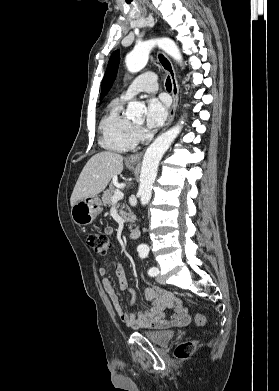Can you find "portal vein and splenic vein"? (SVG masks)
<instances>
[{
	"instance_id": "1",
	"label": "portal vein and splenic vein",
	"mask_w": 279,
	"mask_h": 391,
	"mask_svg": "<svg viewBox=\"0 0 279 391\" xmlns=\"http://www.w3.org/2000/svg\"><path fill=\"white\" fill-rule=\"evenodd\" d=\"M124 197V194L120 190H116L113 197H112V203H117L119 200H121Z\"/></svg>"
}]
</instances>
